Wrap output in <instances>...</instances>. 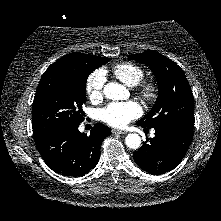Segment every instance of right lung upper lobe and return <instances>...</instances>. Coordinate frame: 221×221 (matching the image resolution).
I'll list each match as a JSON object with an SVG mask.
<instances>
[{
  "label": "right lung upper lobe",
  "mask_w": 221,
  "mask_h": 221,
  "mask_svg": "<svg viewBox=\"0 0 221 221\" xmlns=\"http://www.w3.org/2000/svg\"><path fill=\"white\" fill-rule=\"evenodd\" d=\"M104 57H97L92 55H87L79 52H74L67 54L66 56L60 58L58 61L49 66V70L60 69V68H78L84 64L96 65L101 62Z\"/></svg>",
  "instance_id": "1"
}]
</instances>
